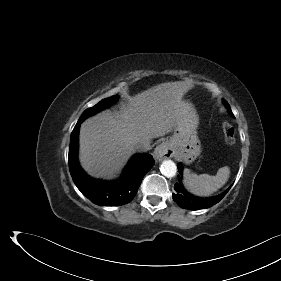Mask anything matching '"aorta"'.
I'll use <instances>...</instances> for the list:
<instances>
[{"mask_svg": "<svg viewBox=\"0 0 281 281\" xmlns=\"http://www.w3.org/2000/svg\"><path fill=\"white\" fill-rule=\"evenodd\" d=\"M161 173L168 177H174L177 173V166L172 160H164L160 167Z\"/></svg>", "mask_w": 281, "mask_h": 281, "instance_id": "obj_1", "label": "aorta"}]
</instances>
